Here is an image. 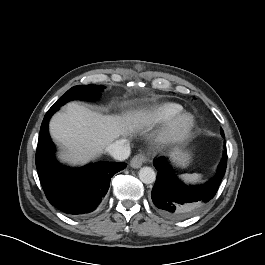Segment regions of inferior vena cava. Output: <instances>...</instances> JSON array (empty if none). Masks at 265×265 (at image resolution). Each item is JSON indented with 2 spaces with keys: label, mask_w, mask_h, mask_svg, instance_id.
Returning <instances> with one entry per match:
<instances>
[{
  "label": "inferior vena cava",
  "mask_w": 265,
  "mask_h": 265,
  "mask_svg": "<svg viewBox=\"0 0 265 265\" xmlns=\"http://www.w3.org/2000/svg\"><path fill=\"white\" fill-rule=\"evenodd\" d=\"M105 151L108 152L116 160L123 161L129 157L131 149L126 139H120L109 144L105 148Z\"/></svg>",
  "instance_id": "inferior-vena-cava-1"
}]
</instances>
